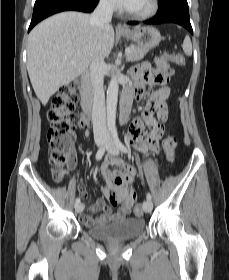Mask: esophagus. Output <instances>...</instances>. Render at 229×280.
<instances>
[{"mask_svg": "<svg viewBox=\"0 0 229 280\" xmlns=\"http://www.w3.org/2000/svg\"><path fill=\"white\" fill-rule=\"evenodd\" d=\"M117 29H118V30H122V31H123V30H127V28H126L124 25L120 24V23L117 24Z\"/></svg>", "mask_w": 229, "mask_h": 280, "instance_id": "34e87169", "label": "esophagus"}]
</instances>
